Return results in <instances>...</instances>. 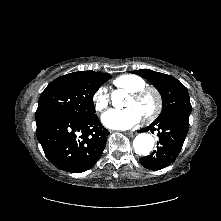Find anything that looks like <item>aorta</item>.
Instances as JSON below:
<instances>
[{"label": "aorta", "instance_id": "obj_1", "mask_svg": "<svg viewBox=\"0 0 221 221\" xmlns=\"http://www.w3.org/2000/svg\"><path fill=\"white\" fill-rule=\"evenodd\" d=\"M125 91L122 89L115 90L112 93V103L114 106L121 105V99L125 97ZM135 153L138 155L147 156L154 147V138L148 133H141L137 135L133 141Z\"/></svg>", "mask_w": 221, "mask_h": 221}]
</instances>
